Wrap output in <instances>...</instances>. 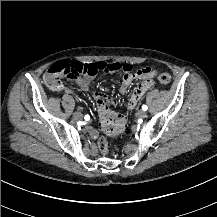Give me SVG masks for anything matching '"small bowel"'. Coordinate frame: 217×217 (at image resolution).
I'll use <instances>...</instances> for the list:
<instances>
[{
	"mask_svg": "<svg viewBox=\"0 0 217 217\" xmlns=\"http://www.w3.org/2000/svg\"><path fill=\"white\" fill-rule=\"evenodd\" d=\"M143 69H141V71ZM124 72L125 73L122 77L121 84L119 87V93L121 95L127 93L129 87L135 80V77L133 76V73H131V71ZM140 78H142V76ZM93 79V75H85L83 77H76L73 79V81L83 92L89 94L93 102L95 103L97 107L96 114L99 117L97 121V126L101 130V132L106 136H117L123 130V122L125 125V117H121L116 112V110L108 104L115 103L110 96L94 89L92 85ZM148 88V83L143 82L133 90L126 103V107L128 110H132L136 107V105L144 96ZM61 89H63L64 92L68 94L72 93V90L68 87L61 86ZM87 131L89 135L93 138H96L98 136V132L94 128L89 127Z\"/></svg>",
	"mask_w": 217,
	"mask_h": 217,
	"instance_id": "obj_1",
	"label": "small bowel"
}]
</instances>
